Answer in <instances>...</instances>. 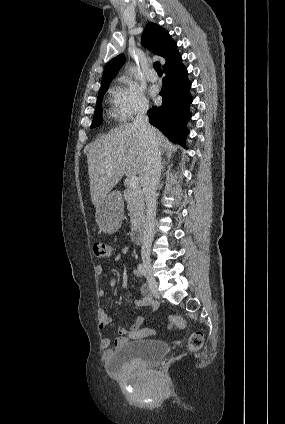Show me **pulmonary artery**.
I'll return each mask as SVG.
<instances>
[{"instance_id": "obj_1", "label": "pulmonary artery", "mask_w": 285, "mask_h": 424, "mask_svg": "<svg viewBox=\"0 0 285 424\" xmlns=\"http://www.w3.org/2000/svg\"><path fill=\"white\" fill-rule=\"evenodd\" d=\"M146 77H147V79H148L150 82H155V81H157V80H158V76H157V74H156L153 70H150V71L147 73Z\"/></svg>"}]
</instances>
